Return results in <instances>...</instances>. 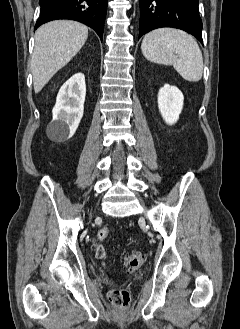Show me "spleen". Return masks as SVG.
Segmentation results:
<instances>
[{"mask_svg":"<svg viewBox=\"0 0 240 329\" xmlns=\"http://www.w3.org/2000/svg\"><path fill=\"white\" fill-rule=\"evenodd\" d=\"M141 50L144 57L154 63L173 65L190 82H197L203 74L202 52L188 33L173 29H155L145 35Z\"/></svg>","mask_w":240,"mask_h":329,"instance_id":"3e777b00","label":"spleen"}]
</instances>
